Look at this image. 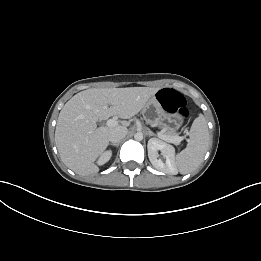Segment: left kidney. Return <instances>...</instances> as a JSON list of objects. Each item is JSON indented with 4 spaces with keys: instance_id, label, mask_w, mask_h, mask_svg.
Masks as SVG:
<instances>
[{
    "instance_id": "1",
    "label": "left kidney",
    "mask_w": 261,
    "mask_h": 261,
    "mask_svg": "<svg viewBox=\"0 0 261 261\" xmlns=\"http://www.w3.org/2000/svg\"><path fill=\"white\" fill-rule=\"evenodd\" d=\"M147 149L149 160L157 170L171 175L177 174L174 147L160 139L151 138L148 141ZM158 151H161L163 157L166 159L165 162L158 159Z\"/></svg>"
}]
</instances>
